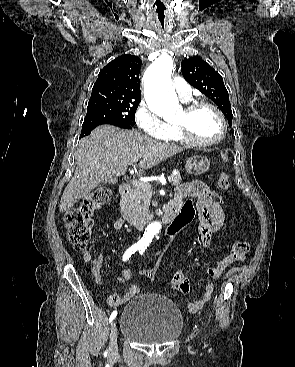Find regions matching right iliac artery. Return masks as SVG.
I'll return each instance as SVG.
<instances>
[{
    "instance_id": "1",
    "label": "right iliac artery",
    "mask_w": 295,
    "mask_h": 367,
    "mask_svg": "<svg viewBox=\"0 0 295 367\" xmlns=\"http://www.w3.org/2000/svg\"><path fill=\"white\" fill-rule=\"evenodd\" d=\"M141 248V246L140 245H138V244H134V245H132L125 253H124V255H123V261L125 262V261H127L129 258H130V256L133 254V253H135L137 250H139ZM116 315H117V311H113L112 312V314H111V316H110V318H109V322H112L113 320H114V318L116 317Z\"/></svg>"
}]
</instances>
